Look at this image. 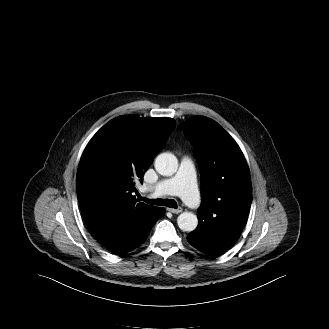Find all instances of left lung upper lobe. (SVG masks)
Masks as SVG:
<instances>
[{
    "label": "left lung upper lobe",
    "instance_id": "obj_1",
    "mask_svg": "<svg viewBox=\"0 0 329 329\" xmlns=\"http://www.w3.org/2000/svg\"><path fill=\"white\" fill-rule=\"evenodd\" d=\"M194 147L202 183L198 226L222 232L228 223L245 225L252 202L250 173L234 139L215 121L194 116L180 124Z\"/></svg>",
    "mask_w": 329,
    "mask_h": 329
}]
</instances>
